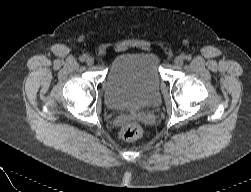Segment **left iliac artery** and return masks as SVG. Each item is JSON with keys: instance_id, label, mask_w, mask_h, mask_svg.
Listing matches in <instances>:
<instances>
[{"instance_id": "left-iliac-artery-1", "label": "left iliac artery", "mask_w": 251, "mask_h": 192, "mask_svg": "<svg viewBox=\"0 0 251 192\" xmlns=\"http://www.w3.org/2000/svg\"><path fill=\"white\" fill-rule=\"evenodd\" d=\"M185 59L189 61V60H191V56L190 55H186Z\"/></svg>"}]
</instances>
